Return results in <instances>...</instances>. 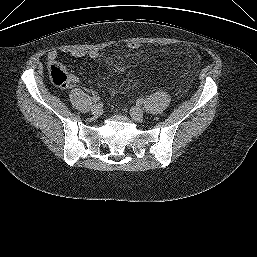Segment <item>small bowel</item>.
<instances>
[{"label":"small bowel","mask_w":257,"mask_h":257,"mask_svg":"<svg viewBox=\"0 0 257 257\" xmlns=\"http://www.w3.org/2000/svg\"><path fill=\"white\" fill-rule=\"evenodd\" d=\"M69 55L77 58L87 57L90 59H96L99 57V52L96 50H89V51H79V50H70L67 51ZM59 54V50H51L47 55V62L50 66L57 64V57ZM108 64L117 72H123L127 70L130 65L121 63V62H114L112 60L108 61ZM78 82V77L74 74L69 75V83L75 84Z\"/></svg>","instance_id":"small-bowel-1"}]
</instances>
